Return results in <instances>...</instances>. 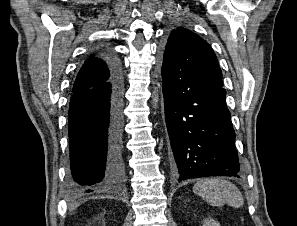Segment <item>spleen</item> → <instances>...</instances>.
Returning a JSON list of instances; mask_svg holds the SVG:
<instances>
[{
    "label": "spleen",
    "mask_w": 297,
    "mask_h": 226,
    "mask_svg": "<svg viewBox=\"0 0 297 226\" xmlns=\"http://www.w3.org/2000/svg\"><path fill=\"white\" fill-rule=\"evenodd\" d=\"M193 192L211 206L221 207L228 204L239 208L244 204L240 190L224 179H201L194 185Z\"/></svg>",
    "instance_id": "obj_1"
}]
</instances>
